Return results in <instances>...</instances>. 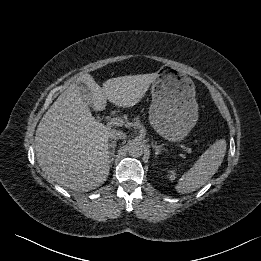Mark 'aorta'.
I'll use <instances>...</instances> for the list:
<instances>
[{
	"label": "aorta",
	"mask_w": 261,
	"mask_h": 261,
	"mask_svg": "<svg viewBox=\"0 0 261 261\" xmlns=\"http://www.w3.org/2000/svg\"><path fill=\"white\" fill-rule=\"evenodd\" d=\"M128 152L132 157H140L143 155L144 147L139 141H132L128 145Z\"/></svg>",
	"instance_id": "obj_1"
}]
</instances>
